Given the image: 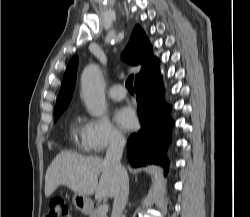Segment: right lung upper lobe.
<instances>
[{"mask_svg":"<svg viewBox=\"0 0 250 217\" xmlns=\"http://www.w3.org/2000/svg\"><path fill=\"white\" fill-rule=\"evenodd\" d=\"M124 57L131 65H142L141 72L136 78L158 61L152 54V46L146 34L138 25L133 30L129 44L124 51ZM77 65L78 58H72L65 71L54 112L64 111L68 107L75 86Z\"/></svg>","mask_w":250,"mask_h":217,"instance_id":"right-lung-upper-lobe-1","label":"right lung upper lobe"}]
</instances>
